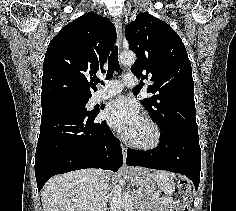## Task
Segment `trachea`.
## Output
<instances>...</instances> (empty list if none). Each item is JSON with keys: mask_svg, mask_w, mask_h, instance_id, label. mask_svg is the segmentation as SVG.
<instances>
[{"mask_svg": "<svg viewBox=\"0 0 236 211\" xmlns=\"http://www.w3.org/2000/svg\"><path fill=\"white\" fill-rule=\"evenodd\" d=\"M114 71L119 72V61H118V47L115 46V48L112 50L109 58H108V70L106 74V80H110L113 77ZM101 83L103 84V81H100L99 79L95 80V83Z\"/></svg>", "mask_w": 236, "mask_h": 211, "instance_id": "3493384b", "label": "trachea"}]
</instances>
